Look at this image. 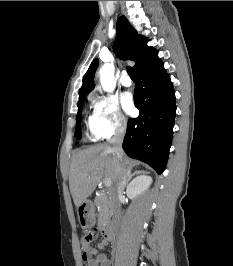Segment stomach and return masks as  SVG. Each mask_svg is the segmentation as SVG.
<instances>
[{
	"label": "stomach",
	"instance_id": "1",
	"mask_svg": "<svg viewBox=\"0 0 233 266\" xmlns=\"http://www.w3.org/2000/svg\"><path fill=\"white\" fill-rule=\"evenodd\" d=\"M75 213L82 214L81 228H90L95 223L93 204H80V209H76Z\"/></svg>",
	"mask_w": 233,
	"mask_h": 266
}]
</instances>
